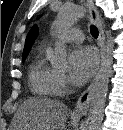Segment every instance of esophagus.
Wrapping results in <instances>:
<instances>
[{"mask_svg": "<svg viewBox=\"0 0 123 130\" xmlns=\"http://www.w3.org/2000/svg\"><path fill=\"white\" fill-rule=\"evenodd\" d=\"M86 3H87V6L89 7L91 20L95 23L99 31L98 45L100 47V55H101V60H102L103 55H104V40H105L102 22L99 17L98 10L96 6L94 5L93 0H86ZM95 83H96V77L93 79L91 84L79 97V100L72 114L74 118L80 119L86 115L90 101L92 99L93 92H94Z\"/></svg>", "mask_w": 123, "mask_h": 130, "instance_id": "1", "label": "esophagus"}]
</instances>
